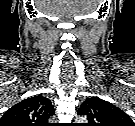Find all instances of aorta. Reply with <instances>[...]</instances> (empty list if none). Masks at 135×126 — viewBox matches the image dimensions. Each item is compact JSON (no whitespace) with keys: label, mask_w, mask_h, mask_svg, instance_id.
I'll list each match as a JSON object with an SVG mask.
<instances>
[{"label":"aorta","mask_w":135,"mask_h":126,"mask_svg":"<svg viewBox=\"0 0 135 126\" xmlns=\"http://www.w3.org/2000/svg\"><path fill=\"white\" fill-rule=\"evenodd\" d=\"M76 121H78V122H84V121H86V119L84 117H77L76 118Z\"/></svg>","instance_id":"aorta-1"}]
</instances>
